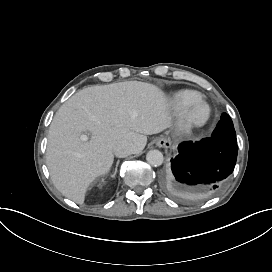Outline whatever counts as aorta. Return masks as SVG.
Returning a JSON list of instances; mask_svg holds the SVG:
<instances>
[{
  "label": "aorta",
  "instance_id": "762f6f07",
  "mask_svg": "<svg viewBox=\"0 0 272 272\" xmlns=\"http://www.w3.org/2000/svg\"><path fill=\"white\" fill-rule=\"evenodd\" d=\"M146 160L150 165L160 166L163 163V154L159 150H150L146 155Z\"/></svg>",
  "mask_w": 272,
  "mask_h": 272
}]
</instances>
